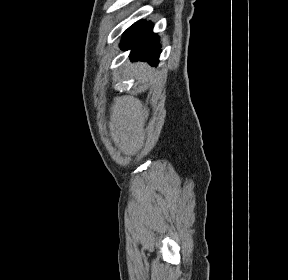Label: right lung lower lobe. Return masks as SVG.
<instances>
[{"label": "right lung lower lobe", "mask_w": 288, "mask_h": 280, "mask_svg": "<svg viewBox=\"0 0 288 280\" xmlns=\"http://www.w3.org/2000/svg\"><path fill=\"white\" fill-rule=\"evenodd\" d=\"M153 25L151 22L141 20L128 28L121 41V48L131 49L132 60H144L152 65L159 61L161 53L160 39L152 32Z\"/></svg>", "instance_id": "1"}]
</instances>
